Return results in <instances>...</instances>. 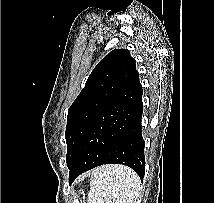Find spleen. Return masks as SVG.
Returning <instances> with one entry per match:
<instances>
[{"instance_id":"3e777b00","label":"spleen","mask_w":214,"mask_h":203,"mask_svg":"<svg viewBox=\"0 0 214 203\" xmlns=\"http://www.w3.org/2000/svg\"><path fill=\"white\" fill-rule=\"evenodd\" d=\"M140 179L121 165L101 166L92 172L88 203H137Z\"/></svg>"}]
</instances>
